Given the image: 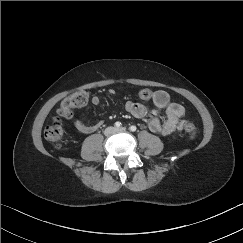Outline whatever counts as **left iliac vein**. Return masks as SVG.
I'll list each match as a JSON object with an SVG mask.
<instances>
[{
    "instance_id": "4c4485c4",
    "label": "left iliac vein",
    "mask_w": 243,
    "mask_h": 243,
    "mask_svg": "<svg viewBox=\"0 0 243 243\" xmlns=\"http://www.w3.org/2000/svg\"><path fill=\"white\" fill-rule=\"evenodd\" d=\"M115 132H126V128L125 127L116 128Z\"/></svg>"
}]
</instances>
